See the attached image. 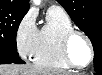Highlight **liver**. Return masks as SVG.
Segmentation results:
<instances>
[{
  "mask_svg": "<svg viewBox=\"0 0 102 75\" xmlns=\"http://www.w3.org/2000/svg\"><path fill=\"white\" fill-rule=\"evenodd\" d=\"M0 75H66L32 64H5L0 66Z\"/></svg>",
  "mask_w": 102,
  "mask_h": 75,
  "instance_id": "liver-1",
  "label": "liver"
}]
</instances>
